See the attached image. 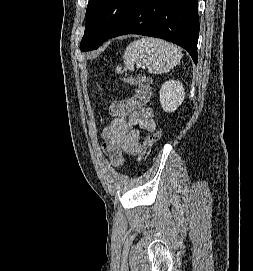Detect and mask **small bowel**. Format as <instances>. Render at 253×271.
Returning <instances> with one entry per match:
<instances>
[{
  "instance_id": "1",
  "label": "small bowel",
  "mask_w": 253,
  "mask_h": 271,
  "mask_svg": "<svg viewBox=\"0 0 253 271\" xmlns=\"http://www.w3.org/2000/svg\"><path fill=\"white\" fill-rule=\"evenodd\" d=\"M151 88L137 86L133 95L114 101L109 108L113 117L102 131L104 151L113 166L124 162L123 153L137 155L141 151L142 131L156 129L153 110L147 106Z\"/></svg>"
}]
</instances>
